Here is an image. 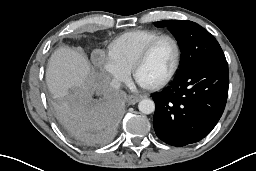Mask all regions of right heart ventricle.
Returning <instances> with one entry per match:
<instances>
[{
	"label": "right heart ventricle",
	"mask_w": 256,
	"mask_h": 171,
	"mask_svg": "<svg viewBox=\"0 0 256 171\" xmlns=\"http://www.w3.org/2000/svg\"><path fill=\"white\" fill-rule=\"evenodd\" d=\"M160 33L152 30H133L126 32L108 47V55L122 67L130 70L142 49Z\"/></svg>",
	"instance_id": "obj_1"
}]
</instances>
